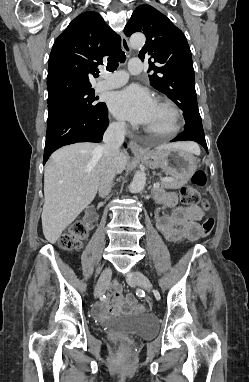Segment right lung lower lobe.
Listing matches in <instances>:
<instances>
[{"instance_id":"1","label":"right lung lower lobe","mask_w":249,"mask_h":382,"mask_svg":"<svg viewBox=\"0 0 249 382\" xmlns=\"http://www.w3.org/2000/svg\"><path fill=\"white\" fill-rule=\"evenodd\" d=\"M109 124L107 106L95 115H80L61 119L47 125L43 164L58 148L77 142H101Z\"/></svg>"}]
</instances>
